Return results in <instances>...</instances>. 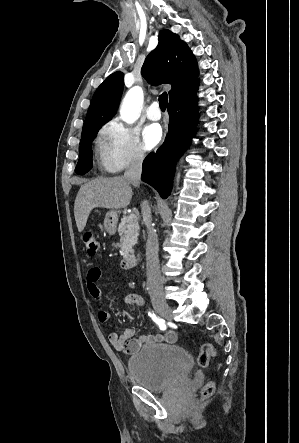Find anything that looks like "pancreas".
Listing matches in <instances>:
<instances>
[{"mask_svg":"<svg viewBox=\"0 0 299 443\" xmlns=\"http://www.w3.org/2000/svg\"><path fill=\"white\" fill-rule=\"evenodd\" d=\"M128 217L124 216L118 227V233L121 237L120 248L123 254L132 252V247L137 243L139 234L138 217L133 220H129Z\"/></svg>","mask_w":299,"mask_h":443,"instance_id":"cf45deb5","label":"pancreas"}]
</instances>
